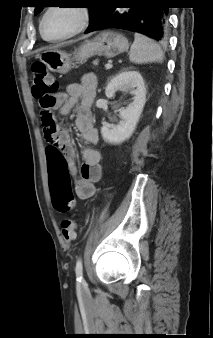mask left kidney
I'll use <instances>...</instances> for the list:
<instances>
[{
    "mask_svg": "<svg viewBox=\"0 0 213 338\" xmlns=\"http://www.w3.org/2000/svg\"><path fill=\"white\" fill-rule=\"evenodd\" d=\"M132 88H135L132 91L133 101L126 108L120 109V122L101 128L102 137L108 143L120 144L132 136L146 102V88L141 74L128 69L115 75L106 87L105 94L108 98L113 97L118 90Z\"/></svg>",
    "mask_w": 213,
    "mask_h": 338,
    "instance_id": "1",
    "label": "left kidney"
}]
</instances>
